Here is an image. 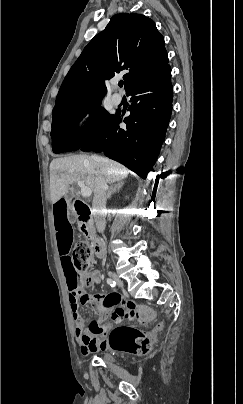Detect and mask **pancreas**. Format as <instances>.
<instances>
[{"label":"pancreas","instance_id":"1","mask_svg":"<svg viewBox=\"0 0 243 404\" xmlns=\"http://www.w3.org/2000/svg\"><path fill=\"white\" fill-rule=\"evenodd\" d=\"M79 228H81V224H78Z\"/></svg>","mask_w":243,"mask_h":404}]
</instances>
